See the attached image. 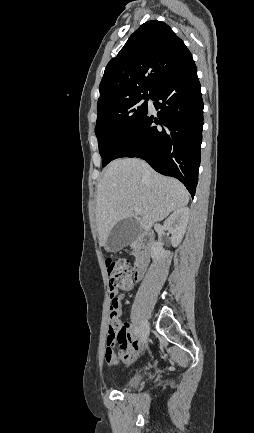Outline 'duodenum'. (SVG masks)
<instances>
[{
  "label": "duodenum",
  "mask_w": 254,
  "mask_h": 433,
  "mask_svg": "<svg viewBox=\"0 0 254 433\" xmlns=\"http://www.w3.org/2000/svg\"><path fill=\"white\" fill-rule=\"evenodd\" d=\"M154 238V233L148 231L139 237L138 240L133 244V247L137 253V259L134 265V276L136 279L142 278L147 270L150 250L154 242Z\"/></svg>",
  "instance_id": "duodenum-1"
}]
</instances>
